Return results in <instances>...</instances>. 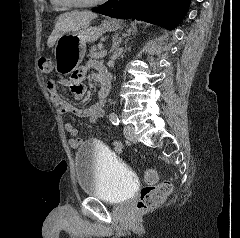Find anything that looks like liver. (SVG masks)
<instances>
[{"label":"liver","instance_id":"6515ba94","mask_svg":"<svg viewBox=\"0 0 240 238\" xmlns=\"http://www.w3.org/2000/svg\"><path fill=\"white\" fill-rule=\"evenodd\" d=\"M96 17L97 14L90 11H71L59 15L55 28L48 38V47H52L62 34L78 31L81 28L89 26L91 21Z\"/></svg>","mask_w":240,"mask_h":238}]
</instances>
